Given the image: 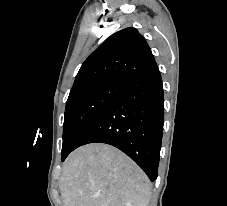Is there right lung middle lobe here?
<instances>
[{
	"mask_svg": "<svg viewBox=\"0 0 227 206\" xmlns=\"http://www.w3.org/2000/svg\"><path fill=\"white\" fill-rule=\"evenodd\" d=\"M122 80H104L69 94L63 124L62 161L101 113L125 90Z\"/></svg>",
	"mask_w": 227,
	"mask_h": 206,
	"instance_id": "right-lung-middle-lobe-1",
	"label": "right lung middle lobe"
}]
</instances>
